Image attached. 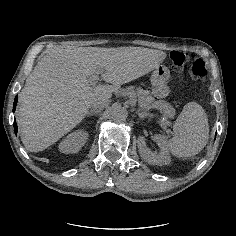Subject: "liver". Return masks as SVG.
<instances>
[{
    "label": "liver",
    "instance_id": "1",
    "mask_svg": "<svg viewBox=\"0 0 236 236\" xmlns=\"http://www.w3.org/2000/svg\"><path fill=\"white\" fill-rule=\"evenodd\" d=\"M152 49L145 47H65L36 64L20 94V137L30 152L58 142L86 117L89 109L108 103L121 85L143 76ZM100 72L105 84L92 85ZM110 83V84H108Z\"/></svg>",
    "mask_w": 236,
    "mask_h": 236
}]
</instances>
